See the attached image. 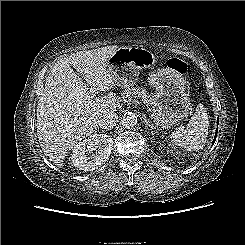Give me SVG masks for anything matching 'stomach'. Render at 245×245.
<instances>
[{
    "instance_id": "stomach-1",
    "label": "stomach",
    "mask_w": 245,
    "mask_h": 245,
    "mask_svg": "<svg viewBox=\"0 0 245 245\" xmlns=\"http://www.w3.org/2000/svg\"><path fill=\"white\" fill-rule=\"evenodd\" d=\"M157 62L150 50L140 47H121L107 61L114 81L121 88L133 86L142 69ZM149 84L156 89L152 100L151 117L154 124L168 128L184 119L190 110V99L183 76L175 70L161 68L148 77Z\"/></svg>"
}]
</instances>
